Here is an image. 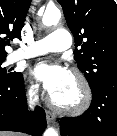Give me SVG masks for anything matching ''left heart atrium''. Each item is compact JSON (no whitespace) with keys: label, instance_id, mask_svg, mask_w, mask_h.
<instances>
[{"label":"left heart atrium","instance_id":"obj_1","mask_svg":"<svg viewBox=\"0 0 117 136\" xmlns=\"http://www.w3.org/2000/svg\"><path fill=\"white\" fill-rule=\"evenodd\" d=\"M32 74L43 84L50 96L61 91L67 85L70 77L69 71L64 66L46 61L37 63Z\"/></svg>","mask_w":117,"mask_h":136}]
</instances>
